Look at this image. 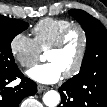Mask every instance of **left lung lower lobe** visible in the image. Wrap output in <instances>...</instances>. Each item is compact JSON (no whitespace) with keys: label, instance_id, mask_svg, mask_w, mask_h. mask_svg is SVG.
<instances>
[{"label":"left lung lower lobe","instance_id":"left-lung-lower-lobe-1","mask_svg":"<svg viewBox=\"0 0 107 107\" xmlns=\"http://www.w3.org/2000/svg\"><path fill=\"white\" fill-rule=\"evenodd\" d=\"M83 83L82 89H86L85 93L80 91L82 83L74 84L69 80L65 82L59 88L62 106L58 107H68L66 100L70 97L76 98V94L81 96V107H107V77L94 75Z\"/></svg>","mask_w":107,"mask_h":107}]
</instances>
